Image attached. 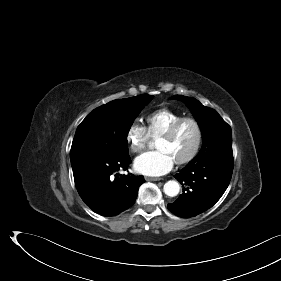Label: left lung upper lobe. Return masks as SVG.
<instances>
[{
    "label": "left lung upper lobe",
    "mask_w": 281,
    "mask_h": 281,
    "mask_svg": "<svg viewBox=\"0 0 281 281\" xmlns=\"http://www.w3.org/2000/svg\"><path fill=\"white\" fill-rule=\"evenodd\" d=\"M173 99L189 106L202 130L203 146L192 161L204 157L233 156L231 128L215 110L203 106L192 97L175 95Z\"/></svg>",
    "instance_id": "5c2ea615"
}]
</instances>
